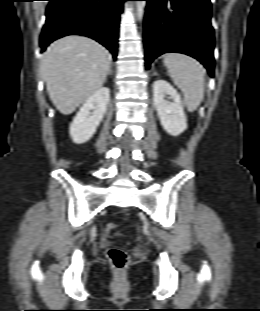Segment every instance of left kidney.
I'll list each match as a JSON object with an SVG mask.
<instances>
[{
    "label": "left kidney",
    "instance_id": "left-kidney-1",
    "mask_svg": "<svg viewBox=\"0 0 260 311\" xmlns=\"http://www.w3.org/2000/svg\"><path fill=\"white\" fill-rule=\"evenodd\" d=\"M168 96L172 101H168ZM153 103L164 130L172 136H178L187 129V119L181 97L167 81L153 83Z\"/></svg>",
    "mask_w": 260,
    "mask_h": 311
}]
</instances>
